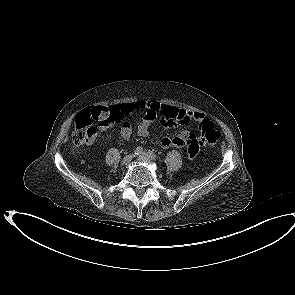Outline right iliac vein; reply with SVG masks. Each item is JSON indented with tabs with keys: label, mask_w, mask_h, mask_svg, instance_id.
Returning <instances> with one entry per match:
<instances>
[{
	"label": "right iliac vein",
	"mask_w": 295,
	"mask_h": 295,
	"mask_svg": "<svg viewBox=\"0 0 295 295\" xmlns=\"http://www.w3.org/2000/svg\"><path fill=\"white\" fill-rule=\"evenodd\" d=\"M134 155L133 154H129V155H126L122 161H121V164L122 165H127L128 163L131 162V160L133 159Z\"/></svg>",
	"instance_id": "right-iliac-vein-1"
}]
</instances>
